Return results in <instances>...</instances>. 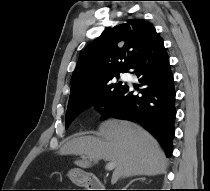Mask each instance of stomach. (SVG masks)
I'll return each mask as SVG.
<instances>
[{"mask_svg": "<svg viewBox=\"0 0 210 191\" xmlns=\"http://www.w3.org/2000/svg\"><path fill=\"white\" fill-rule=\"evenodd\" d=\"M70 180L78 186H86L89 180V175L79 169H73L68 173Z\"/></svg>", "mask_w": 210, "mask_h": 191, "instance_id": "stomach-1", "label": "stomach"}]
</instances>
